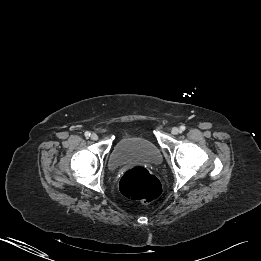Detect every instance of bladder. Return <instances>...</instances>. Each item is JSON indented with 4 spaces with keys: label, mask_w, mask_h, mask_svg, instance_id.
I'll use <instances>...</instances> for the list:
<instances>
[{
    "label": "bladder",
    "mask_w": 261,
    "mask_h": 261,
    "mask_svg": "<svg viewBox=\"0 0 261 261\" xmlns=\"http://www.w3.org/2000/svg\"><path fill=\"white\" fill-rule=\"evenodd\" d=\"M162 154L149 139L137 136H123L113 146L109 155V167L120 168L130 163L160 164Z\"/></svg>",
    "instance_id": "bladder-1"
}]
</instances>
